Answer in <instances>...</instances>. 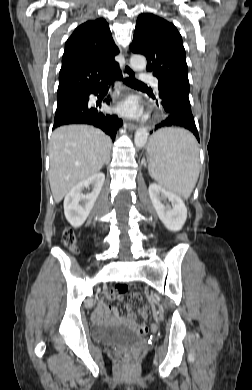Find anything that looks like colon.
I'll return each mask as SVG.
<instances>
[{
    "label": "colon",
    "instance_id": "5ec220e1",
    "mask_svg": "<svg viewBox=\"0 0 252 390\" xmlns=\"http://www.w3.org/2000/svg\"><path fill=\"white\" fill-rule=\"evenodd\" d=\"M63 244L68 247L71 251L75 252V243H76V238L74 235V232L71 229H66L63 233V238H62ZM128 290L127 286L124 284H118L115 286V291L119 294H124ZM130 299L132 300H140L141 295L139 293L133 292L130 294ZM122 360H127L128 359V354L123 353L121 355Z\"/></svg>",
    "mask_w": 252,
    "mask_h": 390
}]
</instances>
